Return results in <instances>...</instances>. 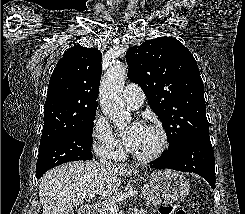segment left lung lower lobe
<instances>
[{
    "instance_id": "0a47b994",
    "label": "left lung lower lobe",
    "mask_w": 245,
    "mask_h": 214,
    "mask_svg": "<svg viewBox=\"0 0 245 214\" xmlns=\"http://www.w3.org/2000/svg\"><path fill=\"white\" fill-rule=\"evenodd\" d=\"M155 169H174L202 176L215 188V159L209 135H197L149 163Z\"/></svg>"
}]
</instances>
